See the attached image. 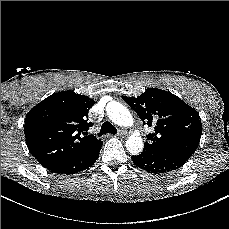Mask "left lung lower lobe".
I'll list each match as a JSON object with an SVG mask.
<instances>
[{
    "label": "left lung lower lobe",
    "mask_w": 229,
    "mask_h": 229,
    "mask_svg": "<svg viewBox=\"0 0 229 229\" xmlns=\"http://www.w3.org/2000/svg\"><path fill=\"white\" fill-rule=\"evenodd\" d=\"M132 161L141 169L149 173L159 174L176 170L188 160L182 155H157L142 152L137 156H131Z\"/></svg>",
    "instance_id": "1"
}]
</instances>
